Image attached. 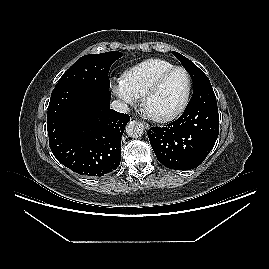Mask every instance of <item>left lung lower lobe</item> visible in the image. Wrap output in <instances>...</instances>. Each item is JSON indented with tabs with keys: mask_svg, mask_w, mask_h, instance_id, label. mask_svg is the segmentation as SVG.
Here are the masks:
<instances>
[{
	"mask_svg": "<svg viewBox=\"0 0 269 269\" xmlns=\"http://www.w3.org/2000/svg\"><path fill=\"white\" fill-rule=\"evenodd\" d=\"M218 133L219 114L211 85L193 93L177 120L147 132L158 161L175 170L198 167L214 147Z\"/></svg>",
	"mask_w": 269,
	"mask_h": 269,
	"instance_id": "obj_1",
	"label": "left lung lower lobe"
}]
</instances>
